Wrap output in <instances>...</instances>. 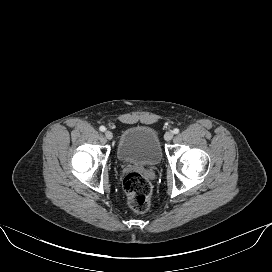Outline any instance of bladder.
I'll return each instance as SVG.
<instances>
[{"label":"bladder","instance_id":"1","mask_svg":"<svg viewBox=\"0 0 272 272\" xmlns=\"http://www.w3.org/2000/svg\"><path fill=\"white\" fill-rule=\"evenodd\" d=\"M117 157L127 164L157 166L162 159V147L157 133L147 126L127 128L121 134Z\"/></svg>","mask_w":272,"mask_h":272}]
</instances>
